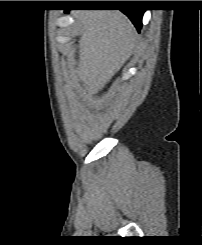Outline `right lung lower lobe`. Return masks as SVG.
Returning <instances> with one entry per match:
<instances>
[{
  "label": "right lung lower lobe",
  "mask_w": 202,
  "mask_h": 245,
  "mask_svg": "<svg viewBox=\"0 0 202 245\" xmlns=\"http://www.w3.org/2000/svg\"><path fill=\"white\" fill-rule=\"evenodd\" d=\"M68 12V10H65ZM124 14H126L132 23L135 25L138 31H140L142 27V16L144 14V10L140 9H122L121 10Z\"/></svg>",
  "instance_id": "98d812e1"
}]
</instances>
